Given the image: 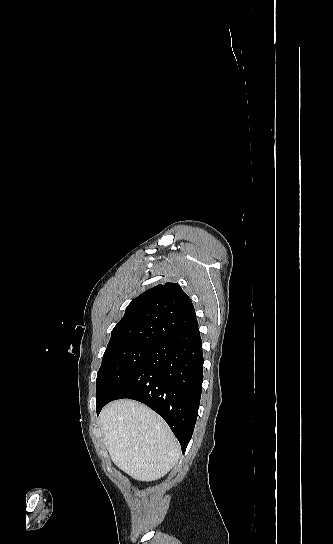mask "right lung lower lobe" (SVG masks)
<instances>
[{
  "label": "right lung lower lobe",
  "instance_id": "right-lung-lower-lobe-1",
  "mask_svg": "<svg viewBox=\"0 0 333 544\" xmlns=\"http://www.w3.org/2000/svg\"><path fill=\"white\" fill-rule=\"evenodd\" d=\"M198 325L152 344V350L110 401L130 398L148 405L170 426L183 454L197 420L203 381Z\"/></svg>",
  "mask_w": 333,
  "mask_h": 544
}]
</instances>
